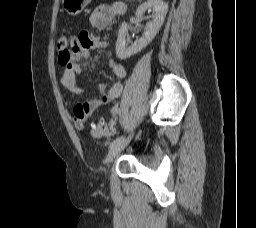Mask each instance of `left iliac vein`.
I'll return each instance as SVG.
<instances>
[{
    "label": "left iliac vein",
    "instance_id": "1",
    "mask_svg": "<svg viewBox=\"0 0 256 228\" xmlns=\"http://www.w3.org/2000/svg\"><path fill=\"white\" fill-rule=\"evenodd\" d=\"M130 139H131V136L122 137V139L120 141L111 145L110 149H109V152H108V155H107V158H106V162L107 163L111 162L116 157V155H118V153L127 146Z\"/></svg>",
    "mask_w": 256,
    "mask_h": 228
}]
</instances>
